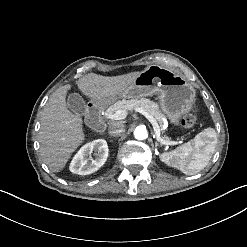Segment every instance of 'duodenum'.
<instances>
[{"mask_svg": "<svg viewBox=\"0 0 247 247\" xmlns=\"http://www.w3.org/2000/svg\"><path fill=\"white\" fill-rule=\"evenodd\" d=\"M87 121L98 132H103L106 129V120L103 117V110L96 104H89L87 108Z\"/></svg>", "mask_w": 247, "mask_h": 247, "instance_id": "obj_1", "label": "duodenum"}]
</instances>
